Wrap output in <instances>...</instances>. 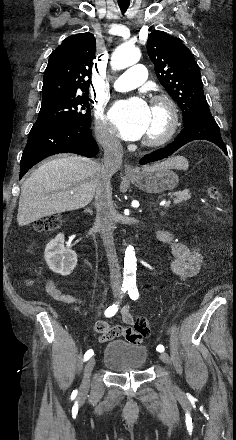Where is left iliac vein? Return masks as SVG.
Returning <instances> with one entry per match:
<instances>
[{"instance_id": "obj_1", "label": "left iliac vein", "mask_w": 236, "mask_h": 440, "mask_svg": "<svg viewBox=\"0 0 236 440\" xmlns=\"http://www.w3.org/2000/svg\"><path fill=\"white\" fill-rule=\"evenodd\" d=\"M160 359H161L164 363H166V364H170V363H171V360H170L169 355H168L167 353H165V352H163V353L160 354Z\"/></svg>"}]
</instances>
